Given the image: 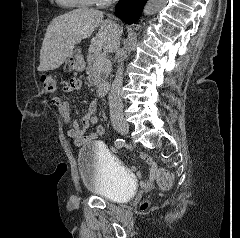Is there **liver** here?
I'll use <instances>...</instances> for the list:
<instances>
[{
  "mask_svg": "<svg viewBox=\"0 0 240 238\" xmlns=\"http://www.w3.org/2000/svg\"><path fill=\"white\" fill-rule=\"evenodd\" d=\"M99 27L91 40V52H115L120 46L123 28L111 20H103V13L93 9H76L52 20L40 51L38 71L55 70L72 53L76 44L90 37Z\"/></svg>",
  "mask_w": 240,
  "mask_h": 238,
  "instance_id": "obj_1",
  "label": "liver"
}]
</instances>
